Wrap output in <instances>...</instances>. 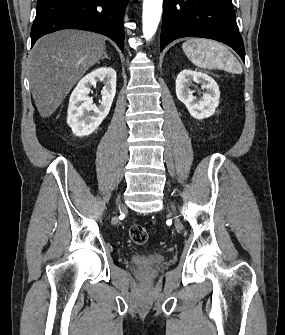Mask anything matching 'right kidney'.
Wrapping results in <instances>:
<instances>
[{
	"mask_svg": "<svg viewBox=\"0 0 285 335\" xmlns=\"http://www.w3.org/2000/svg\"><path fill=\"white\" fill-rule=\"evenodd\" d=\"M96 82L105 84L100 106L93 104L89 98L91 86ZM116 94V72L113 68H98L78 82L73 90L67 110V124L75 136H89L97 130L104 118L108 116Z\"/></svg>",
	"mask_w": 285,
	"mask_h": 335,
	"instance_id": "right-kidney-1",
	"label": "right kidney"
}]
</instances>
